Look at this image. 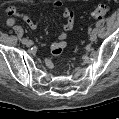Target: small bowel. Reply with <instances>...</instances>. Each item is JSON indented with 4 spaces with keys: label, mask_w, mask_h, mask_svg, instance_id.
<instances>
[{
    "label": "small bowel",
    "mask_w": 119,
    "mask_h": 119,
    "mask_svg": "<svg viewBox=\"0 0 119 119\" xmlns=\"http://www.w3.org/2000/svg\"><path fill=\"white\" fill-rule=\"evenodd\" d=\"M53 7L56 9H61L63 17L66 19V22L63 26V32L58 36L57 40L54 41L51 46V55L47 58V66L52 69L54 67V56L59 55L64 47L66 46V39L68 32L71 31L74 27V12L68 7L64 6L61 1H55ZM7 25L13 26L16 22V17H20L31 29L36 30L38 28V21L26 13H19L16 7H10L7 11Z\"/></svg>",
    "instance_id": "c3829d8e"
}]
</instances>
